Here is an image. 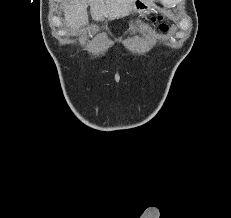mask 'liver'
<instances>
[{
	"mask_svg": "<svg viewBox=\"0 0 231 218\" xmlns=\"http://www.w3.org/2000/svg\"><path fill=\"white\" fill-rule=\"evenodd\" d=\"M134 0H70L64 5L66 24L73 30L87 25V7L90 5L92 18L95 20H114L128 15Z\"/></svg>",
	"mask_w": 231,
	"mask_h": 218,
	"instance_id": "liver-1",
	"label": "liver"
}]
</instances>
